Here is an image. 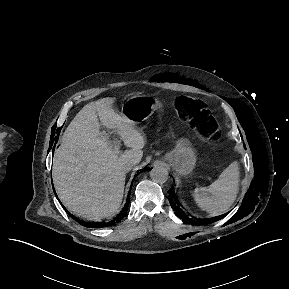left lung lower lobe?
<instances>
[{
  "label": "left lung lower lobe",
  "mask_w": 289,
  "mask_h": 289,
  "mask_svg": "<svg viewBox=\"0 0 289 289\" xmlns=\"http://www.w3.org/2000/svg\"><path fill=\"white\" fill-rule=\"evenodd\" d=\"M169 202L173 210L175 211V214L178 215L184 222L192 224V225H202V224H209L213 223L221 218H223L226 214L220 215L213 218L208 219H196L193 220L185 215V213L181 209V205L179 201L176 199V197L172 193V189H169Z\"/></svg>",
  "instance_id": "0a47b994"
}]
</instances>
